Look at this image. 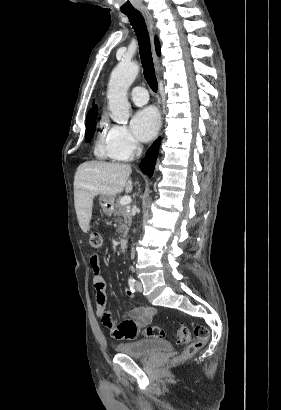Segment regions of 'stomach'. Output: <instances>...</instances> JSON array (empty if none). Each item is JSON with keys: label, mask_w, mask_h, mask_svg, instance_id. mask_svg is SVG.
<instances>
[{"label": "stomach", "mask_w": 281, "mask_h": 410, "mask_svg": "<svg viewBox=\"0 0 281 410\" xmlns=\"http://www.w3.org/2000/svg\"><path fill=\"white\" fill-rule=\"evenodd\" d=\"M114 197L101 195L100 206L106 215H111L114 211Z\"/></svg>", "instance_id": "stomach-1"}]
</instances>
